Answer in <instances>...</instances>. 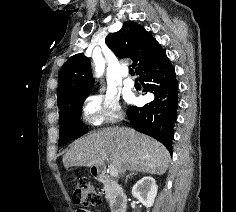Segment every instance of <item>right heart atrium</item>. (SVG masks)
<instances>
[{
    "label": "right heart atrium",
    "instance_id": "1",
    "mask_svg": "<svg viewBox=\"0 0 236 212\" xmlns=\"http://www.w3.org/2000/svg\"><path fill=\"white\" fill-rule=\"evenodd\" d=\"M82 117L91 125L114 123L122 118L118 99L112 95H91L87 97L82 109Z\"/></svg>",
    "mask_w": 236,
    "mask_h": 212
}]
</instances>
